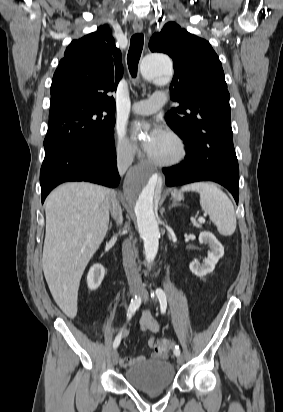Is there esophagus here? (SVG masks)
<instances>
[{
	"label": "esophagus",
	"instance_id": "esophagus-1",
	"mask_svg": "<svg viewBox=\"0 0 283 412\" xmlns=\"http://www.w3.org/2000/svg\"><path fill=\"white\" fill-rule=\"evenodd\" d=\"M134 32L140 33L143 30V22L141 20H135L133 23Z\"/></svg>",
	"mask_w": 283,
	"mask_h": 412
}]
</instances>
